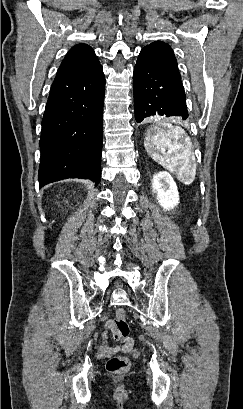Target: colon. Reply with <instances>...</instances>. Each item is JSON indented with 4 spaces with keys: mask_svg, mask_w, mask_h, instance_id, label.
<instances>
[{
    "mask_svg": "<svg viewBox=\"0 0 243 409\" xmlns=\"http://www.w3.org/2000/svg\"><path fill=\"white\" fill-rule=\"evenodd\" d=\"M113 334L114 336L123 341L128 347H132L133 341L130 338V328L126 319V313L123 308H118L115 312V318L113 319ZM131 365L130 359L124 355H118L111 357L106 364V368L112 373H123L129 369Z\"/></svg>",
    "mask_w": 243,
    "mask_h": 409,
    "instance_id": "colon-1",
    "label": "colon"
}]
</instances>
